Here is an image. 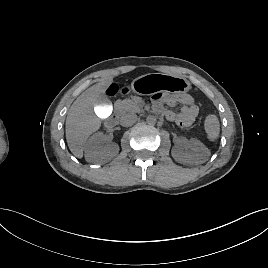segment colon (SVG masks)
I'll list each match as a JSON object with an SVG mask.
<instances>
[{"mask_svg": "<svg viewBox=\"0 0 268 268\" xmlns=\"http://www.w3.org/2000/svg\"><path fill=\"white\" fill-rule=\"evenodd\" d=\"M110 95H114L117 92V88L114 85H111L108 89Z\"/></svg>", "mask_w": 268, "mask_h": 268, "instance_id": "5ec220e1", "label": "colon"}]
</instances>
